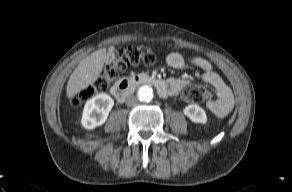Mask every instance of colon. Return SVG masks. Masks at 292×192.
I'll use <instances>...</instances> for the list:
<instances>
[{"instance_id":"obj_1","label":"colon","mask_w":292,"mask_h":192,"mask_svg":"<svg viewBox=\"0 0 292 192\" xmlns=\"http://www.w3.org/2000/svg\"><path fill=\"white\" fill-rule=\"evenodd\" d=\"M155 60L154 52L147 47H128L121 50L117 58L104 68L95 82L86 86L72 97L71 104L75 107L80 106L94 95L106 91L110 84L117 79L119 73L126 70L129 66L140 63L152 65ZM182 99L191 103H213L216 100V92L212 87L193 86L183 91Z\"/></svg>"}]
</instances>
